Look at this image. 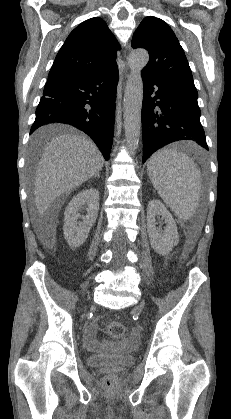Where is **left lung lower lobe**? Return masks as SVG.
<instances>
[{"mask_svg": "<svg viewBox=\"0 0 231 419\" xmlns=\"http://www.w3.org/2000/svg\"><path fill=\"white\" fill-rule=\"evenodd\" d=\"M143 163L159 148L194 140L208 150L195 86L142 73Z\"/></svg>", "mask_w": 231, "mask_h": 419, "instance_id": "obj_1", "label": "left lung lower lobe"}]
</instances>
